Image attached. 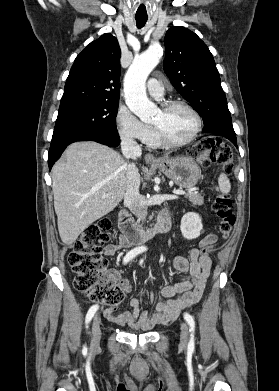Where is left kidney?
Here are the masks:
<instances>
[{
  "label": "left kidney",
  "mask_w": 279,
  "mask_h": 391,
  "mask_svg": "<svg viewBox=\"0 0 279 391\" xmlns=\"http://www.w3.org/2000/svg\"><path fill=\"white\" fill-rule=\"evenodd\" d=\"M180 229L183 237L188 240L199 237L203 229L201 217L196 213H186L181 219Z\"/></svg>",
  "instance_id": "left-kidney-1"
}]
</instances>
